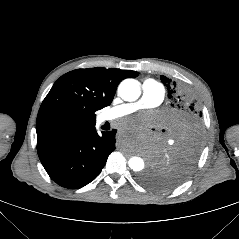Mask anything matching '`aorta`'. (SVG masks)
Listing matches in <instances>:
<instances>
[{
	"label": "aorta",
	"instance_id": "obj_1",
	"mask_svg": "<svg viewBox=\"0 0 239 239\" xmlns=\"http://www.w3.org/2000/svg\"><path fill=\"white\" fill-rule=\"evenodd\" d=\"M118 94L125 101L137 100L141 95L139 82L131 78L123 80L118 87ZM128 164L133 171L137 172L142 171L145 166L144 160L137 156L131 157Z\"/></svg>",
	"mask_w": 239,
	"mask_h": 239
}]
</instances>
